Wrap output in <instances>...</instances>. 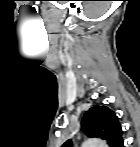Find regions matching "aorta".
Listing matches in <instances>:
<instances>
[{
  "label": "aorta",
  "mask_w": 140,
  "mask_h": 147,
  "mask_svg": "<svg viewBox=\"0 0 140 147\" xmlns=\"http://www.w3.org/2000/svg\"><path fill=\"white\" fill-rule=\"evenodd\" d=\"M106 143L103 140L97 139V138H90L87 139L83 143V147H105Z\"/></svg>",
  "instance_id": "obj_1"
}]
</instances>
